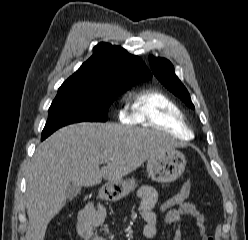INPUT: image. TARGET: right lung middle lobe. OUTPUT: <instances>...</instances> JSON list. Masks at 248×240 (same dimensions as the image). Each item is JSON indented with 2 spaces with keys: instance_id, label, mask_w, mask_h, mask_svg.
I'll return each instance as SVG.
<instances>
[{
  "instance_id": "obj_1",
  "label": "right lung middle lobe",
  "mask_w": 248,
  "mask_h": 240,
  "mask_svg": "<svg viewBox=\"0 0 248 240\" xmlns=\"http://www.w3.org/2000/svg\"><path fill=\"white\" fill-rule=\"evenodd\" d=\"M136 83L138 82H127L119 87L106 89H59L49 108L42 138H47L68 124L107 121L108 108L115 98Z\"/></svg>"
}]
</instances>
